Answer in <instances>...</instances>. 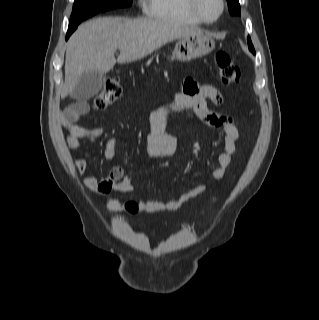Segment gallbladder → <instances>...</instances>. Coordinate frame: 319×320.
Instances as JSON below:
<instances>
[{"mask_svg":"<svg viewBox=\"0 0 319 320\" xmlns=\"http://www.w3.org/2000/svg\"><path fill=\"white\" fill-rule=\"evenodd\" d=\"M103 83V74L98 71L84 73L70 93V97L80 101L89 100L98 94L102 89Z\"/></svg>","mask_w":319,"mask_h":320,"instance_id":"1","label":"gallbladder"}]
</instances>
